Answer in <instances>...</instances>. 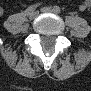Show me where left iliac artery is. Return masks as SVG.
<instances>
[{
  "mask_svg": "<svg viewBox=\"0 0 91 91\" xmlns=\"http://www.w3.org/2000/svg\"><path fill=\"white\" fill-rule=\"evenodd\" d=\"M54 11L56 12V13H60L61 12V9H60V7L59 6H54Z\"/></svg>",
  "mask_w": 91,
  "mask_h": 91,
  "instance_id": "44dca946",
  "label": "left iliac artery"
}]
</instances>
